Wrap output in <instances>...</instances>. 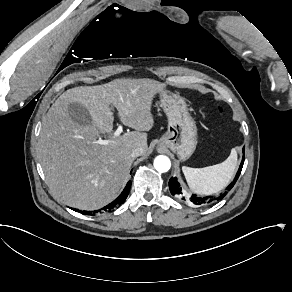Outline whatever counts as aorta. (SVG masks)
<instances>
[{
	"label": "aorta",
	"mask_w": 292,
	"mask_h": 292,
	"mask_svg": "<svg viewBox=\"0 0 292 292\" xmlns=\"http://www.w3.org/2000/svg\"><path fill=\"white\" fill-rule=\"evenodd\" d=\"M154 167L158 172H167L171 167L170 159L167 156H157L154 160Z\"/></svg>",
	"instance_id": "obj_1"
}]
</instances>
